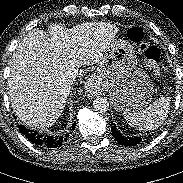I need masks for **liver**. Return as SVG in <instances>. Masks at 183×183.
<instances>
[{
	"label": "liver",
	"instance_id": "6515ba94",
	"mask_svg": "<svg viewBox=\"0 0 183 183\" xmlns=\"http://www.w3.org/2000/svg\"><path fill=\"white\" fill-rule=\"evenodd\" d=\"M118 28L86 22L71 29L58 24L49 34L33 29L20 41L10 63L9 98L16 116L32 128H47L60 117L73 85L72 68L99 63Z\"/></svg>",
	"mask_w": 183,
	"mask_h": 183
}]
</instances>
